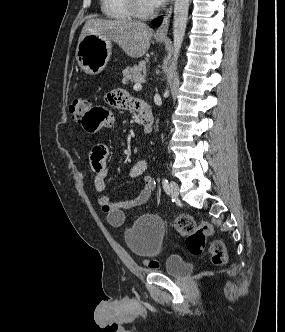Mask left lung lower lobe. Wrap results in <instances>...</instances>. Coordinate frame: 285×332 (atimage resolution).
<instances>
[{"mask_svg": "<svg viewBox=\"0 0 285 332\" xmlns=\"http://www.w3.org/2000/svg\"><path fill=\"white\" fill-rule=\"evenodd\" d=\"M161 21H162V18H157L156 20H154V21L152 22V24H153L154 26H158V25L161 23Z\"/></svg>", "mask_w": 285, "mask_h": 332, "instance_id": "0a47b994", "label": "left lung lower lobe"}]
</instances>
